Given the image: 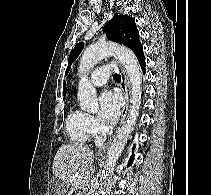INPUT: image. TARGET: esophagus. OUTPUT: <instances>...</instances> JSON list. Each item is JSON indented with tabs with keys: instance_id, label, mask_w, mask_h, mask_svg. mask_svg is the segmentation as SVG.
Returning a JSON list of instances; mask_svg holds the SVG:
<instances>
[{
	"instance_id": "34e87169",
	"label": "esophagus",
	"mask_w": 211,
	"mask_h": 195,
	"mask_svg": "<svg viewBox=\"0 0 211 195\" xmlns=\"http://www.w3.org/2000/svg\"><path fill=\"white\" fill-rule=\"evenodd\" d=\"M113 62L118 65L119 69H120V74H121V83H120V87L121 90L123 92V96H124V105L122 108V112H121V119H120V123L119 126L117 127L115 133L118 131V129L121 127V125L124 123L126 115H127V111L129 108V94H128V83H127V77L125 74L124 69L118 64V62L116 60H113ZM112 138H110L107 142H105L104 144H102L98 151L96 152V156L97 157H104L105 153L111 143Z\"/></svg>"
}]
</instances>
